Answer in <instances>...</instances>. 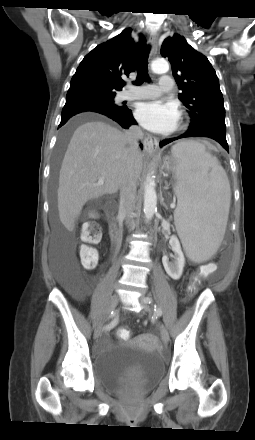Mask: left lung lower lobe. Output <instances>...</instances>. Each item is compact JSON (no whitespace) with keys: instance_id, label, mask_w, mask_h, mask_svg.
Listing matches in <instances>:
<instances>
[{"instance_id":"obj_1","label":"left lung lower lobe","mask_w":255,"mask_h":440,"mask_svg":"<svg viewBox=\"0 0 255 440\" xmlns=\"http://www.w3.org/2000/svg\"><path fill=\"white\" fill-rule=\"evenodd\" d=\"M187 137H208L211 138L218 143H220L223 148L229 152L228 149V143L226 141V128H223L221 126L217 125H205L201 126L199 128H190L182 135L171 138V139H165L160 142V147H163L164 145L180 139V138H187Z\"/></svg>"}]
</instances>
